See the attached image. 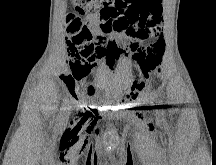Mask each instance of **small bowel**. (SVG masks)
<instances>
[{
	"instance_id": "obj_1",
	"label": "small bowel",
	"mask_w": 216,
	"mask_h": 165,
	"mask_svg": "<svg viewBox=\"0 0 216 165\" xmlns=\"http://www.w3.org/2000/svg\"><path fill=\"white\" fill-rule=\"evenodd\" d=\"M162 0H135L131 5H118L116 10L101 8L98 19L99 33L109 40L106 60L112 66L123 52L122 43L126 40H143L142 34L149 28L160 27ZM70 64L71 73L64 81L75 97L79 93L77 82L88 75V68L80 62ZM145 77L138 74L133 79V87L127 93V98L135 99L144 87ZM93 97L95 89L86 90ZM77 98V97H76Z\"/></svg>"
}]
</instances>
